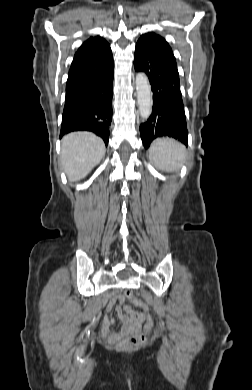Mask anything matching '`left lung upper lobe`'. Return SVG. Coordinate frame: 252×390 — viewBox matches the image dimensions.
<instances>
[{
	"mask_svg": "<svg viewBox=\"0 0 252 390\" xmlns=\"http://www.w3.org/2000/svg\"><path fill=\"white\" fill-rule=\"evenodd\" d=\"M138 42H143L150 45L156 51L160 52L161 54L165 55L166 57H168L169 59H171L173 62L176 63L171 47L166 42V40L162 38L160 35L153 32L146 33L140 37Z\"/></svg>",
	"mask_w": 252,
	"mask_h": 390,
	"instance_id": "1",
	"label": "left lung upper lobe"
}]
</instances>
